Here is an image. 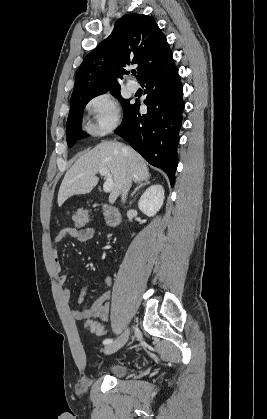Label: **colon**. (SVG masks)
<instances>
[{
	"instance_id": "colon-1",
	"label": "colon",
	"mask_w": 267,
	"mask_h": 419,
	"mask_svg": "<svg viewBox=\"0 0 267 419\" xmlns=\"http://www.w3.org/2000/svg\"><path fill=\"white\" fill-rule=\"evenodd\" d=\"M89 217L90 214L87 210L81 209L77 211L72 217L74 228H83L87 224ZM85 326L96 335H103L106 331L101 323L94 320H88Z\"/></svg>"
}]
</instances>
